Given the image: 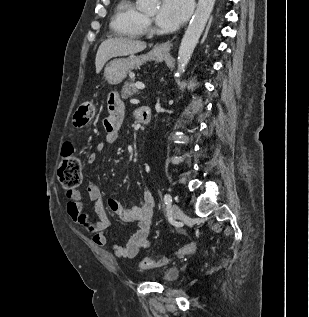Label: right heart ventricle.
Segmentation results:
<instances>
[{
	"label": "right heart ventricle",
	"mask_w": 309,
	"mask_h": 317,
	"mask_svg": "<svg viewBox=\"0 0 309 317\" xmlns=\"http://www.w3.org/2000/svg\"><path fill=\"white\" fill-rule=\"evenodd\" d=\"M144 20V14L132 0H120L115 10L112 28L120 36L139 38L144 30Z\"/></svg>",
	"instance_id": "right-heart-ventricle-1"
}]
</instances>
